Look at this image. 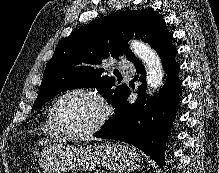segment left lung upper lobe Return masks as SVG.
<instances>
[{
	"instance_id": "5c2ea615",
	"label": "left lung upper lobe",
	"mask_w": 219,
	"mask_h": 173,
	"mask_svg": "<svg viewBox=\"0 0 219 173\" xmlns=\"http://www.w3.org/2000/svg\"><path fill=\"white\" fill-rule=\"evenodd\" d=\"M169 35L165 20L151 9L120 11L78 29L56 47L44 70L32 110L62 91L90 87L100 91L116 107L128 87L114 88L115 79L102 75V60L126 55L134 62L137 58L130 51L127 40L139 38L155 48Z\"/></svg>"
}]
</instances>
